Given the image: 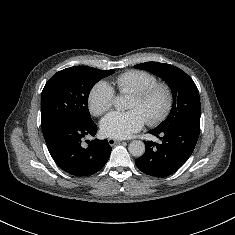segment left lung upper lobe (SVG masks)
Returning a JSON list of instances; mask_svg holds the SVG:
<instances>
[{
	"label": "left lung upper lobe",
	"mask_w": 235,
	"mask_h": 235,
	"mask_svg": "<svg viewBox=\"0 0 235 235\" xmlns=\"http://www.w3.org/2000/svg\"><path fill=\"white\" fill-rule=\"evenodd\" d=\"M134 67L159 76L172 90L174 102L171 112L155 130H166L184 124L200 126L199 92L194 81L185 72L173 65L159 62H146Z\"/></svg>",
	"instance_id": "left-lung-upper-lobe-1"
}]
</instances>
